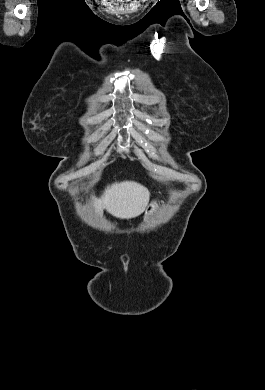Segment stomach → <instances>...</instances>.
<instances>
[{
    "label": "stomach",
    "instance_id": "1",
    "mask_svg": "<svg viewBox=\"0 0 265 390\" xmlns=\"http://www.w3.org/2000/svg\"><path fill=\"white\" fill-rule=\"evenodd\" d=\"M156 208H157L156 203H155V202L152 203V204L150 205L148 211L146 212V215H147V216L151 215L153 212L156 211Z\"/></svg>",
    "mask_w": 265,
    "mask_h": 390
}]
</instances>
